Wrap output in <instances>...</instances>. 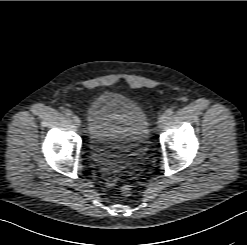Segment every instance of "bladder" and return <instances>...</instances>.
Instances as JSON below:
<instances>
[{
    "mask_svg": "<svg viewBox=\"0 0 247 245\" xmlns=\"http://www.w3.org/2000/svg\"><path fill=\"white\" fill-rule=\"evenodd\" d=\"M88 141L94 161L111 171L135 166L149 146L143 109L117 92L97 96L87 110Z\"/></svg>",
    "mask_w": 247,
    "mask_h": 245,
    "instance_id": "31cf9c89",
    "label": "bladder"
}]
</instances>
